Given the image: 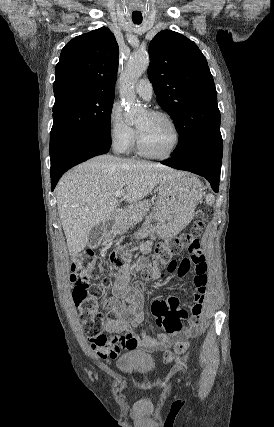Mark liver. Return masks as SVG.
Listing matches in <instances>:
<instances>
[{
  "instance_id": "6515ba94",
  "label": "liver",
  "mask_w": 274,
  "mask_h": 427,
  "mask_svg": "<svg viewBox=\"0 0 274 427\" xmlns=\"http://www.w3.org/2000/svg\"><path fill=\"white\" fill-rule=\"evenodd\" d=\"M176 174V170L167 166L122 160L108 154L69 170L59 180L55 192L70 255L75 257L84 249L90 229L111 219L119 206L115 192L125 190L127 204H135L162 180Z\"/></svg>"
}]
</instances>
